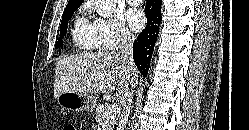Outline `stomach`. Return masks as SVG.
I'll return each mask as SVG.
<instances>
[{
	"instance_id": "1",
	"label": "stomach",
	"mask_w": 249,
	"mask_h": 130,
	"mask_svg": "<svg viewBox=\"0 0 249 130\" xmlns=\"http://www.w3.org/2000/svg\"><path fill=\"white\" fill-rule=\"evenodd\" d=\"M62 109L72 112H92L97 105V100L92 94L64 92L57 97Z\"/></svg>"
}]
</instances>
